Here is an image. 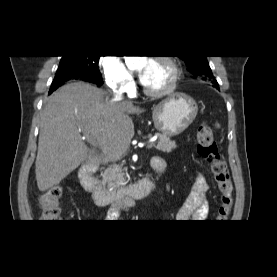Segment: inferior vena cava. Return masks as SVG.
I'll list each match as a JSON object with an SVG mask.
<instances>
[{"instance_id":"inferior-vena-cava-1","label":"inferior vena cava","mask_w":277,"mask_h":277,"mask_svg":"<svg viewBox=\"0 0 277 277\" xmlns=\"http://www.w3.org/2000/svg\"><path fill=\"white\" fill-rule=\"evenodd\" d=\"M114 99L115 100H121L122 99V94L121 93H114Z\"/></svg>"}]
</instances>
